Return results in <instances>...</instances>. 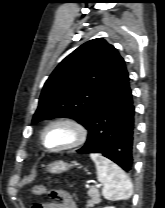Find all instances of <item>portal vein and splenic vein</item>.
Returning <instances> with one entry per match:
<instances>
[{
    "label": "portal vein and splenic vein",
    "instance_id": "18ae733b",
    "mask_svg": "<svg viewBox=\"0 0 165 208\" xmlns=\"http://www.w3.org/2000/svg\"><path fill=\"white\" fill-rule=\"evenodd\" d=\"M96 187H100V185H99V184H97V185H96Z\"/></svg>",
    "mask_w": 165,
    "mask_h": 208
}]
</instances>
